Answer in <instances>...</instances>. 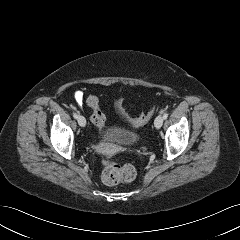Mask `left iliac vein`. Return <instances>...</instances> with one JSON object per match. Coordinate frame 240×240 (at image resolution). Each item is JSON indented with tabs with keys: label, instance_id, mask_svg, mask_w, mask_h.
I'll use <instances>...</instances> for the list:
<instances>
[{
	"label": "left iliac vein",
	"instance_id": "1",
	"mask_svg": "<svg viewBox=\"0 0 240 240\" xmlns=\"http://www.w3.org/2000/svg\"><path fill=\"white\" fill-rule=\"evenodd\" d=\"M164 118L161 115H158L154 121V125L157 129L161 128L163 124Z\"/></svg>",
	"mask_w": 240,
	"mask_h": 240
}]
</instances>
